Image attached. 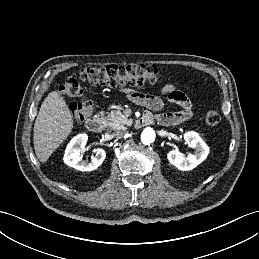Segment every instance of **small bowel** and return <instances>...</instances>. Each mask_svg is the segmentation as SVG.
<instances>
[{"label":"small bowel","instance_id":"obj_1","mask_svg":"<svg viewBox=\"0 0 259 259\" xmlns=\"http://www.w3.org/2000/svg\"><path fill=\"white\" fill-rule=\"evenodd\" d=\"M125 93L132 102L145 106L153 111H160L164 103L153 95L135 92L126 89ZM162 93L168 94V101L182 108L178 112L160 113L156 115V120L163 125H174L189 119L192 116V103L185 93L178 90L172 84H166L162 87Z\"/></svg>","mask_w":259,"mask_h":259}]
</instances>
